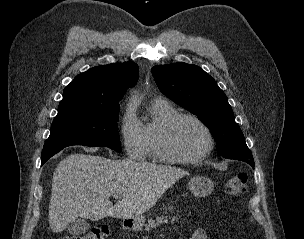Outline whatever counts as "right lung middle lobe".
I'll return each instance as SVG.
<instances>
[{"label": "right lung middle lobe", "mask_w": 304, "mask_h": 239, "mask_svg": "<svg viewBox=\"0 0 304 239\" xmlns=\"http://www.w3.org/2000/svg\"><path fill=\"white\" fill-rule=\"evenodd\" d=\"M119 105L58 112L43 150L71 145L106 146L121 152L117 131Z\"/></svg>", "instance_id": "1"}]
</instances>
